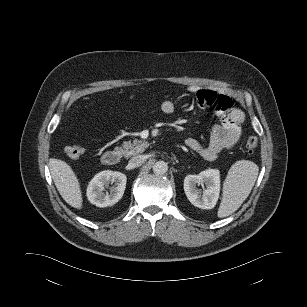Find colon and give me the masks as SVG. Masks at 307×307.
I'll use <instances>...</instances> for the list:
<instances>
[{
    "instance_id": "5ec220e1",
    "label": "colon",
    "mask_w": 307,
    "mask_h": 307,
    "mask_svg": "<svg viewBox=\"0 0 307 307\" xmlns=\"http://www.w3.org/2000/svg\"><path fill=\"white\" fill-rule=\"evenodd\" d=\"M258 146V139L256 136H249L245 141V147L248 152H253ZM65 154L71 159H77L84 153V148L80 145H69L66 146Z\"/></svg>"
}]
</instances>
